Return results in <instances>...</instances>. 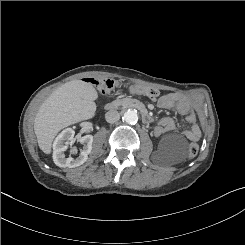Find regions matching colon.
<instances>
[{
  "label": "colon",
  "mask_w": 245,
  "mask_h": 245,
  "mask_svg": "<svg viewBox=\"0 0 245 245\" xmlns=\"http://www.w3.org/2000/svg\"><path fill=\"white\" fill-rule=\"evenodd\" d=\"M116 88V83L111 80H106L99 85V89L102 93H110ZM131 91L135 94H142L150 98H156L159 95V91L152 87L133 86ZM199 152V146L196 143L190 144L188 148L187 156L189 159L194 158Z\"/></svg>",
  "instance_id": "5ec220e1"
}]
</instances>
